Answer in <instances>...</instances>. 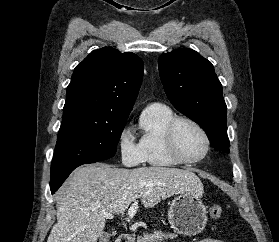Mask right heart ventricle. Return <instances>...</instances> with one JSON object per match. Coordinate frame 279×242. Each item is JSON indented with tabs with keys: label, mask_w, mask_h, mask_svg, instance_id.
<instances>
[{
	"label": "right heart ventricle",
	"mask_w": 279,
	"mask_h": 242,
	"mask_svg": "<svg viewBox=\"0 0 279 242\" xmlns=\"http://www.w3.org/2000/svg\"><path fill=\"white\" fill-rule=\"evenodd\" d=\"M176 117L174 112L162 104H151L140 119L139 146L144 161L154 167H173L179 164L169 153L165 143V130Z\"/></svg>",
	"instance_id": "e07e8e85"
}]
</instances>
